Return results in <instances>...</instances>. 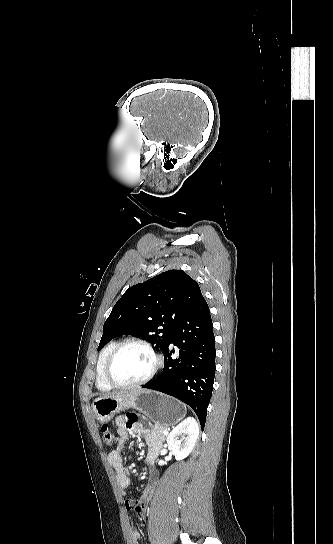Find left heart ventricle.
<instances>
[{
  "label": "left heart ventricle",
  "mask_w": 333,
  "mask_h": 544,
  "mask_svg": "<svg viewBox=\"0 0 333 544\" xmlns=\"http://www.w3.org/2000/svg\"><path fill=\"white\" fill-rule=\"evenodd\" d=\"M153 366L152 356L143 348H124L114 360L112 376L121 383H131L144 378Z\"/></svg>",
  "instance_id": "obj_1"
}]
</instances>
